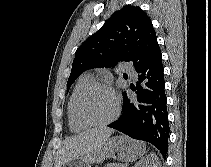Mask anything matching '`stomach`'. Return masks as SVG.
Wrapping results in <instances>:
<instances>
[{
    "label": "stomach",
    "mask_w": 211,
    "mask_h": 167,
    "mask_svg": "<svg viewBox=\"0 0 211 167\" xmlns=\"http://www.w3.org/2000/svg\"><path fill=\"white\" fill-rule=\"evenodd\" d=\"M144 153L145 145L142 142L131 140L125 136H115L109 138L101 149L78 156L61 167H91L93 163H101L105 158L130 162L137 160Z\"/></svg>",
    "instance_id": "1"
}]
</instances>
